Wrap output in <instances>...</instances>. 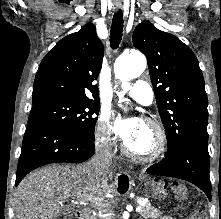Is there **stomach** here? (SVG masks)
Wrapping results in <instances>:
<instances>
[{
  "label": "stomach",
  "instance_id": "1",
  "mask_svg": "<svg viewBox=\"0 0 221 219\" xmlns=\"http://www.w3.org/2000/svg\"><path fill=\"white\" fill-rule=\"evenodd\" d=\"M149 181L145 183V188L152 199H173V194H166V191H170L167 183H175V178H150Z\"/></svg>",
  "mask_w": 221,
  "mask_h": 219
}]
</instances>
